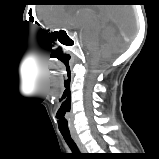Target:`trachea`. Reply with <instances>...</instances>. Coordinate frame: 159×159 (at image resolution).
<instances>
[{"mask_svg":"<svg viewBox=\"0 0 159 159\" xmlns=\"http://www.w3.org/2000/svg\"><path fill=\"white\" fill-rule=\"evenodd\" d=\"M65 142L67 143V145L70 147V149L74 152V153H79V150L77 148V145L75 144V142L73 141L70 133H61Z\"/></svg>","mask_w":159,"mask_h":159,"instance_id":"1","label":"trachea"}]
</instances>
